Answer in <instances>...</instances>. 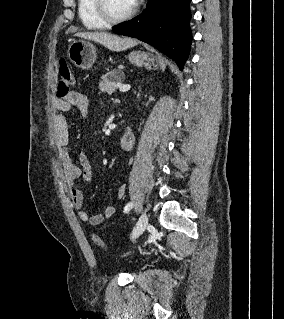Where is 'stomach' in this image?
<instances>
[{
  "mask_svg": "<svg viewBox=\"0 0 284 319\" xmlns=\"http://www.w3.org/2000/svg\"><path fill=\"white\" fill-rule=\"evenodd\" d=\"M70 61L78 68L88 70L96 60V47L85 40L73 41L68 48ZM129 62L137 67L155 69L158 66V57L152 53L134 51L128 56Z\"/></svg>",
  "mask_w": 284,
  "mask_h": 319,
  "instance_id": "0dacf381",
  "label": "stomach"
}]
</instances>
